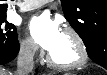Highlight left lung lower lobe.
Wrapping results in <instances>:
<instances>
[{
	"label": "left lung lower lobe",
	"instance_id": "1",
	"mask_svg": "<svg viewBox=\"0 0 107 75\" xmlns=\"http://www.w3.org/2000/svg\"><path fill=\"white\" fill-rule=\"evenodd\" d=\"M89 55V54H88ZM89 57L101 65L105 69H107V45L103 44L102 48H97Z\"/></svg>",
	"mask_w": 107,
	"mask_h": 75
}]
</instances>
